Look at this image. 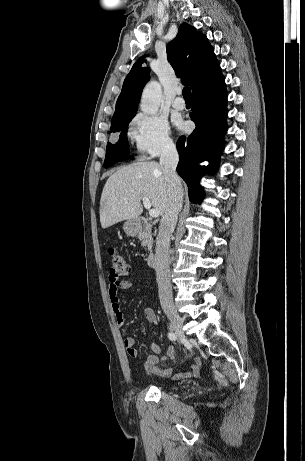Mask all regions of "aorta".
Returning a JSON list of instances; mask_svg holds the SVG:
<instances>
[{
    "instance_id": "1",
    "label": "aorta",
    "mask_w": 305,
    "mask_h": 461,
    "mask_svg": "<svg viewBox=\"0 0 305 461\" xmlns=\"http://www.w3.org/2000/svg\"><path fill=\"white\" fill-rule=\"evenodd\" d=\"M162 98V90L158 82L150 81L144 88L140 108L148 115L157 113Z\"/></svg>"
}]
</instances>
